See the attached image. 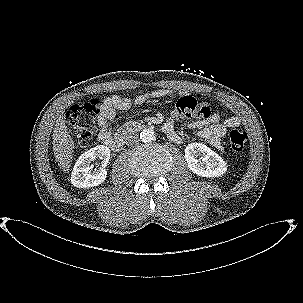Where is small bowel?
<instances>
[{"label":"small bowel","mask_w":303,"mask_h":303,"mask_svg":"<svg viewBox=\"0 0 303 303\" xmlns=\"http://www.w3.org/2000/svg\"><path fill=\"white\" fill-rule=\"evenodd\" d=\"M176 94L168 89L154 90L148 93L138 95L134 103L136 105H143L150 98H173ZM187 96V95H183ZM132 106V101L127 97L119 95L107 96L103 99L100 106L97 122L99 125L98 139L104 144H107L111 139V128L109 121L114 118L116 110H127ZM201 110L203 116L198 120L188 124V128L199 129L198 136L208 141L212 146L221 150V139L226 134L227 129L240 126L241 119L238 116H230L224 120L220 119L217 113H214L208 104H202ZM176 115L169 117L163 124V129L172 134L169 137L172 141L179 143L181 137L174 130V120L177 119Z\"/></svg>","instance_id":"small-bowel-1"}]
</instances>
